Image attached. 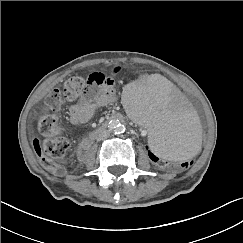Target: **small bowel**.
<instances>
[{
  "instance_id": "small-bowel-1",
  "label": "small bowel",
  "mask_w": 243,
  "mask_h": 243,
  "mask_svg": "<svg viewBox=\"0 0 243 243\" xmlns=\"http://www.w3.org/2000/svg\"><path fill=\"white\" fill-rule=\"evenodd\" d=\"M115 99L112 85H94L80 101L70 107V120L75 126L90 120L95 111L111 104Z\"/></svg>"
}]
</instances>
